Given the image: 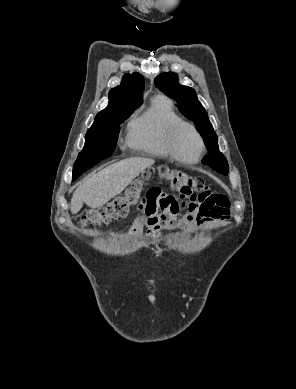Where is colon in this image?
<instances>
[{
	"label": "colon",
	"instance_id": "colon-1",
	"mask_svg": "<svg viewBox=\"0 0 296 389\" xmlns=\"http://www.w3.org/2000/svg\"><path fill=\"white\" fill-rule=\"evenodd\" d=\"M158 173L169 182L170 186L180 194V197L209 192L202 178L193 177L184 171L161 166ZM149 176L150 172L144 173L139 179L133 181L121 195L116 196L103 206L89 210L83 216L81 224L83 226H100L126 217L130 208L139 201L144 182Z\"/></svg>",
	"mask_w": 296,
	"mask_h": 389
}]
</instances>
